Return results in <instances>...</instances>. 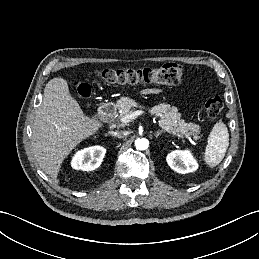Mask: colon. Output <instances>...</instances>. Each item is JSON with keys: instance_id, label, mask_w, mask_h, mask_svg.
I'll list each match as a JSON object with an SVG mask.
<instances>
[{"instance_id": "colon-1", "label": "colon", "mask_w": 259, "mask_h": 259, "mask_svg": "<svg viewBox=\"0 0 259 259\" xmlns=\"http://www.w3.org/2000/svg\"><path fill=\"white\" fill-rule=\"evenodd\" d=\"M96 76L108 84L139 85V84H166L176 85L182 81L183 68L177 63H166L159 67H146L140 69H100ZM78 95L83 99L90 97L91 89L86 83L77 84ZM207 115L214 119L223 108V101L216 95L206 100L204 104Z\"/></svg>"}]
</instances>
